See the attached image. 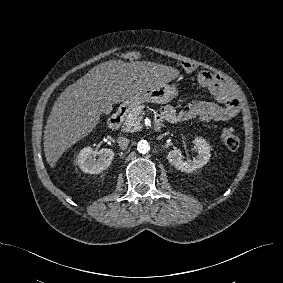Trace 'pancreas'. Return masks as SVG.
<instances>
[{"label":"pancreas","mask_w":283,"mask_h":283,"mask_svg":"<svg viewBox=\"0 0 283 283\" xmlns=\"http://www.w3.org/2000/svg\"><path fill=\"white\" fill-rule=\"evenodd\" d=\"M143 108L144 105H137L131 110L122 126L123 132H136L142 128L140 122L142 120Z\"/></svg>","instance_id":"cf45deb5"}]
</instances>
